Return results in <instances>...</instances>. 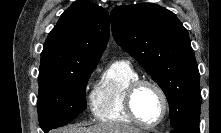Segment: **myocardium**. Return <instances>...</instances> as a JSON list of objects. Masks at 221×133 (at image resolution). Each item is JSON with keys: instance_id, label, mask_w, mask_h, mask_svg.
Wrapping results in <instances>:
<instances>
[{"instance_id": "myocardium-1", "label": "myocardium", "mask_w": 221, "mask_h": 133, "mask_svg": "<svg viewBox=\"0 0 221 133\" xmlns=\"http://www.w3.org/2000/svg\"><path fill=\"white\" fill-rule=\"evenodd\" d=\"M143 86H151L156 90V92L159 94L162 102V114L158 121L154 123H146L143 120L140 119V117L137 115L134 107V99L135 95L138 92V90ZM125 108L127 114L130 116V118L137 123L138 125L145 127V128H154L159 126L166 118L168 113V99L166 96L165 91L163 88L156 83L155 81L148 80V79H138L134 82H132L126 89L125 92Z\"/></svg>"}]
</instances>
